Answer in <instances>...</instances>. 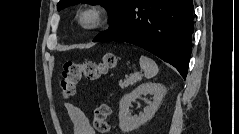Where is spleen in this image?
<instances>
[{"mask_svg": "<svg viewBox=\"0 0 239 134\" xmlns=\"http://www.w3.org/2000/svg\"><path fill=\"white\" fill-rule=\"evenodd\" d=\"M139 63H140V67L144 71L145 78L150 79L157 75L159 69H158V65L156 64L154 60L142 55L140 57Z\"/></svg>", "mask_w": 239, "mask_h": 134, "instance_id": "obj_1", "label": "spleen"}]
</instances>
